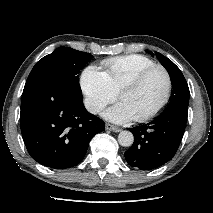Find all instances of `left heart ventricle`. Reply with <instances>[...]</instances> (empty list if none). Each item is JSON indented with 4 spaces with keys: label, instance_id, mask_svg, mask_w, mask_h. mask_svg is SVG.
<instances>
[{
    "label": "left heart ventricle",
    "instance_id": "obj_1",
    "mask_svg": "<svg viewBox=\"0 0 213 213\" xmlns=\"http://www.w3.org/2000/svg\"><path fill=\"white\" fill-rule=\"evenodd\" d=\"M166 77L162 71H154L136 87L124 92L120 98L134 118L142 116L156 107L166 92Z\"/></svg>",
    "mask_w": 213,
    "mask_h": 213
}]
</instances>
